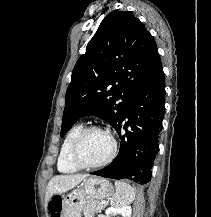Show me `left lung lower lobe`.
Wrapping results in <instances>:
<instances>
[{
    "label": "left lung lower lobe",
    "mask_w": 211,
    "mask_h": 217,
    "mask_svg": "<svg viewBox=\"0 0 211 217\" xmlns=\"http://www.w3.org/2000/svg\"><path fill=\"white\" fill-rule=\"evenodd\" d=\"M164 101L165 75L161 68L135 92L124 116L115 127L121 138L117 157L106 168L91 174L112 179L127 178L139 184H147L158 152ZM126 118L128 121L124 124ZM122 129L125 134L121 133Z\"/></svg>",
    "instance_id": "obj_1"
}]
</instances>
